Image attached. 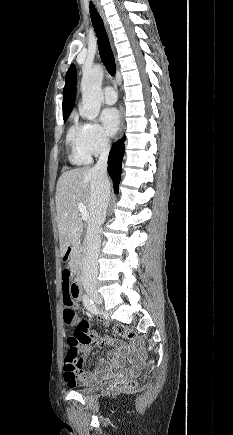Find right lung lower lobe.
Segmentation results:
<instances>
[{"label": "right lung lower lobe", "mask_w": 233, "mask_h": 435, "mask_svg": "<svg viewBox=\"0 0 233 435\" xmlns=\"http://www.w3.org/2000/svg\"><path fill=\"white\" fill-rule=\"evenodd\" d=\"M124 141L125 136L115 142L111 148L108 157V174L113 181L114 192L118 193L119 183L121 179V164L124 156Z\"/></svg>", "instance_id": "right-lung-lower-lobe-1"}]
</instances>
